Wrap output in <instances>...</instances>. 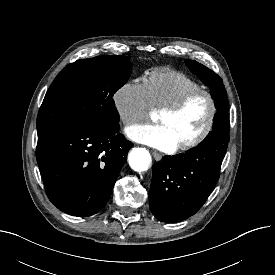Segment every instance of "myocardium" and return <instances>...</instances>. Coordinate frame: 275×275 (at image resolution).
Instances as JSON below:
<instances>
[{"instance_id": "1", "label": "myocardium", "mask_w": 275, "mask_h": 275, "mask_svg": "<svg viewBox=\"0 0 275 275\" xmlns=\"http://www.w3.org/2000/svg\"><path fill=\"white\" fill-rule=\"evenodd\" d=\"M201 95L205 96L209 103V114H208L207 122L204 128L202 129V131L197 136H195L194 138L186 142L178 144L177 149L179 150H187L199 145L210 134L214 126L217 111H218L216 99L210 91L205 90L203 88H199L186 93L176 102L159 109V113L176 114L182 111L190 101H192L197 96H201Z\"/></svg>"}]
</instances>
